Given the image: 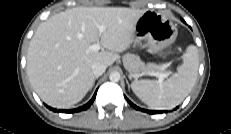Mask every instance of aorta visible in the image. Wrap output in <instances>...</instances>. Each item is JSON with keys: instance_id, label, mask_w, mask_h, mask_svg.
I'll return each instance as SVG.
<instances>
[{"instance_id": "aorta-1", "label": "aorta", "mask_w": 231, "mask_h": 134, "mask_svg": "<svg viewBox=\"0 0 231 134\" xmlns=\"http://www.w3.org/2000/svg\"><path fill=\"white\" fill-rule=\"evenodd\" d=\"M109 79L112 82H118L120 80V73L117 71H113L109 75Z\"/></svg>"}]
</instances>
